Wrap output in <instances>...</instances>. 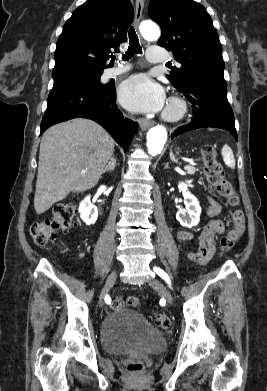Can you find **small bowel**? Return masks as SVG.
Listing matches in <instances>:
<instances>
[{
	"label": "small bowel",
	"mask_w": 267,
	"mask_h": 391,
	"mask_svg": "<svg viewBox=\"0 0 267 391\" xmlns=\"http://www.w3.org/2000/svg\"><path fill=\"white\" fill-rule=\"evenodd\" d=\"M209 205L207 207V214L210 217H216L221 210L220 205L209 197ZM225 225L222 220L214 218L209 221L201 230L198 237L199 248L196 252L187 254V258L198 264L205 265L215 254L216 251V235L223 233ZM193 234L186 231L178 233V240L184 242L192 239Z\"/></svg>",
	"instance_id": "c3829d8e"
}]
</instances>
